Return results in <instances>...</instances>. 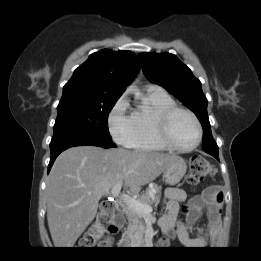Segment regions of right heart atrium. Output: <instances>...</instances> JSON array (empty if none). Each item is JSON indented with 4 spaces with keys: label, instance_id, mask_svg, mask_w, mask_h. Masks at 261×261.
Listing matches in <instances>:
<instances>
[{
    "label": "right heart atrium",
    "instance_id": "1",
    "mask_svg": "<svg viewBox=\"0 0 261 261\" xmlns=\"http://www.w3.org/2000/svg\"><path fill=\"white\" fill-rule=\"evenodd\" d=\"M128 101L122 95L108 116L109 131L116 142L129 146L134 137V123L131 115L127 113Z\"/></svg>",
    "mask_w": 261,
    "mask_h": 261
}]
</instances>
